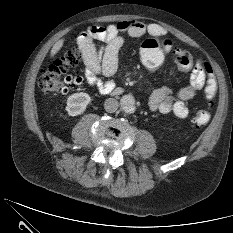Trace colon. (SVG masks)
Returning <instances> with one entry per match:
<instances>
[{"label": "colon", "instance_id": "obj_1", "mask_svg": "<svg viewBox=\"0 0 233 233\" xmlns=\"http://www.w3.org/2000/svg\"><path fill=\"white\" fill-rule=\"evenodd\" d=\"M172 41L168 38L156 36L148 37L141 46V61L148 70H156L164 61L165 54L172 52L177 68L183 72H191L193 59L191 54L183 49H173ZM82 56L79 49L70 50L55 59L45 68L39 77V87L46 93L65 94L75 86L82 83L78 76L67 75V72L75 67ZM203 69L207 75L206 97L213 99L216 92V82L211 66L204 62ZM210 121V113L207 110H199L192 118V125L201 128Z\"/></svg>", "mask_w": 233, "mask_h": 233}]
</instances>
